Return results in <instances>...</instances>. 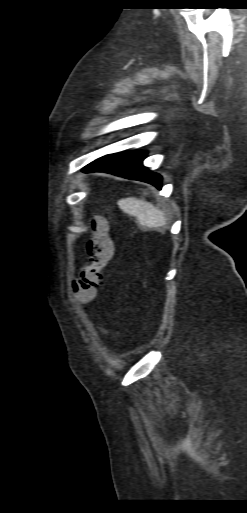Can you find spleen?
Returning <instances> with one entry per match:
<instances>
[{"label": "spleen", "mask_w": 247, "mask_h": 513, "mask_svg": "<svg viewBox=\"0 0 247 513\" xmlns=\"http://www.w3.org/2000/svg\"><path fill=\"white\" fill-rule=\"evenodd\" d=\"M118 205L122 211L135 216L142 226L155 228L165 222L163 212L150 202L129 197L119 200Z\"/></svg>", "instance_id": "1"}]
</instances>
